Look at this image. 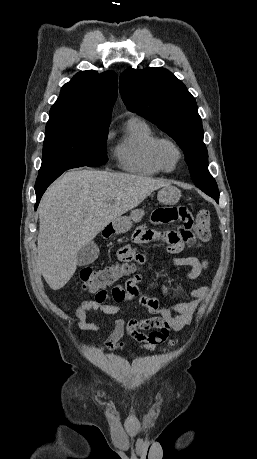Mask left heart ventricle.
Wrapping results in <instances>:
<instances>
[{"label":"left heart ventricle","instance_id":"b2bd125f","mask_svg":"<svg viewBox=\"0 0 257 459\" xmlns=\"http://www.w3.org/2000/svg\"><path fill=\"white\" fill-rule=\"evenodd\" d=\"M161 157L166 166L173 167L177 160V153L172 146L164 144L161 147Z\"/></svg>","mask_w":257,"mask_h":459}]
</instances>
